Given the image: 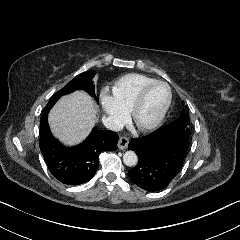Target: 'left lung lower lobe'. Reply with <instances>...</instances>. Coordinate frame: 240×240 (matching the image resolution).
I'll return each instance as SVG.
<instances>
[{"instance_id":"0a47b994","label":"left lung lower lobe","mask_w":240,"mask_h":240,"mask_svg":"<svg viewBox=\"0 0 240 240\" xmlns=\"http://www.w3.org/2000/svg\"><path fill=\"white\" fill-rule=\"evenodd\" d=\"M190 134V130L171 123L131 139L128 148L137 154L138 163L128 172L130 180L146 191L164 189L183 163Z\"/></svg>"}]
</instances>
